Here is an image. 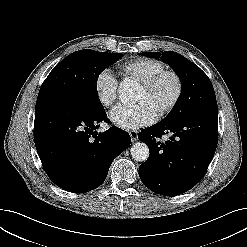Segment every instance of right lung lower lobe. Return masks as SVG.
Masks as SVG:
<instances>
[{
  "label": "right lung lower lobe",
  "mask_w": 247,
  "mask_h": 247,
  "mask_svg": "<svg viewBox=\"0 0 247 247\" xmlns=\"http://www.w3.org/2000/svg\"><path fill=\"white\" fill-rule=\"evenodd\" d=\"M104 110L91 112L60 96L37 98L34 141L48 177L60 188L84 193L99 187L112 161L131 143L117 127L98 133Z\"/></svg>",
  "instance_id": "obj_1"
}]
</instances>
